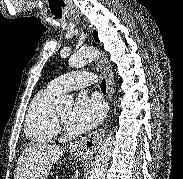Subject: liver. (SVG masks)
<instances>
[{"mask_svg":"<svg viewBox=\"0 0 183 179\" xmlns=\"http://www.w3.org/2000/svg\"><path fill=\"white\" fill-rule=\"evenodd\" d=\"M64 148L52 144H36L27 147L16 164L14 179H39L43 177L63 155Z\"/></svg>","mask_w":183,"mask_h":179,"instance_id":"6515ba94","label":"liver"}]
</instances>
